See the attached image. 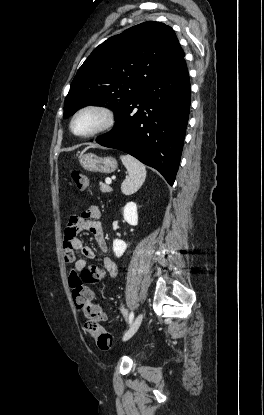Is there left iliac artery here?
I'll return each mask as SVG.
<instances>
[{"label": "left iliac artery", "instance_id": "1", "mask_svg": "<svg viewBox=\"0 0 264 415\" xmlns=\"http://www.w3.org/2000/svg\"><path fill=\"white\" fill-rule=\"evenodd\" d=\"M133 319H134V313H133V312H131V313L129 314V324H131V323H132Z\"/></svg>", "mask_w": 264, "mask_h": 415}]
</instances>
